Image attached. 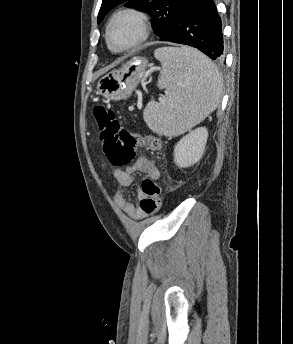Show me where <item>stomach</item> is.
<instances>
[{"label": "stomach", "mask_w": 293, "mask_h": 344, "mask_svg": "<svg viewBox=\"0 0 293 344\" xmlns=\"http://www.w3.org/2000/svg\"><path fill=\"white\" fill-rule=\"evenodd\" d=\"M148 62L144 58H133L118 70H113L99 79L97 89L109 100H122L130 97L138 83L145 78Z\"/></svg>", "instance_id": "obj_1"}]
</instances>
